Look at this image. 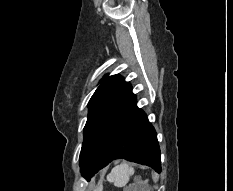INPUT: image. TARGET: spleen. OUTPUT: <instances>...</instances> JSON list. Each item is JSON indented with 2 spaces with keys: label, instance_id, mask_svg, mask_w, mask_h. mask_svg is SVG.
Listing matches in <instances>:
<instances>
[{
  "label": "spleen",
  "instance_id": "3e777b00",
  "mask_svg": "<svg viewBox=\"0 0 233 191\" xmlns=\"http://www.w3.org/2000/svg\"><path fill=\"white\" fill-rule=\"evenodd\" d=\"M134 172L133 167L127 164H120L111 170V173L107 176V180L117 187H124Z\"/></svg>",
  "mask_w": 233,
  "mask_h": 191
}]
</instances>
